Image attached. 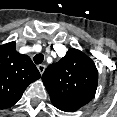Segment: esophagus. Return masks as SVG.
<instances>
[{"instance_id": "esophagus-1", "label": "esophagus", "mask_w": 117, "mask_h": 117, "mask_svg": "<svg viewBox=\"0 0 117 117\" xmlns=\"http://www.w3.org/2000/svg\"><path fill=\"white\" fill-rule=\"evenodd\" d=\"M37 68H38L39 72H40L41 74H43V72H44V70H45V65L40 64V65L37 66Z\"/></svg>"}]
</instances>
